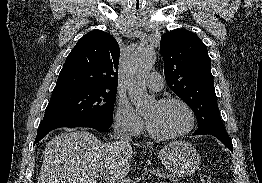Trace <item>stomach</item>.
Here are the masks:
<instances>
[{"instance_id":"0dacf381","label":"stomach","mask_w":262,"mask_h":183,"mask_svg":"<svg viewBox=\"0 0 262 183\" xmlns=\"http://www.w3.org/2000/svg\"><path fill=\"white\" fill-rule=\"evenodd\" d=\"M159 158L165 168L175 176L192 175L200 165V155L188 142L173 141L159 152Z\"/></svg>"}]
</instances>
